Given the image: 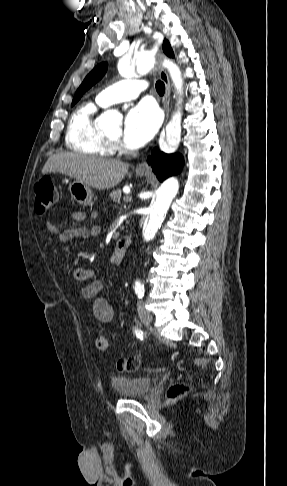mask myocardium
Instances as JSON below:
<instances>
[{"label":"myocardium","mask_w":287,"mask_h":486,"mask_svg":"<svg viewBox=\"0 0 287 486\" xmlns=\"http://www.w3.org/2000/svg\"><path fill=\"white\" fill-rule=\"evenodd\" d=\"M108 141H109V142H111V143H115V142H116V141H115V140H113V139H108Z\"/></svg>","instance_id":"1"}]
</instances>
